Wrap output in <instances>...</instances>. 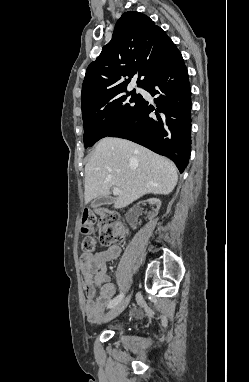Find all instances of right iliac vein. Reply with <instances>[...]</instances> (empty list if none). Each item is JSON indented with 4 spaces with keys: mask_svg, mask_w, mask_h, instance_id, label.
Segmentation results:
<instances>
[{
    "mask_svg": "<svg viewBox=\"0 0 249 382\" xmlns=\"http://www.w3.org/2000/svg\"><path fill=\"white\" fill-rule=\"evenodd\" d=\"M130 301V295H128L125 299L120 301L117 305H115L105 316V320H111L117 317L128 305Z\"/></svg>",
    "mask_w": 249,
    "mask_h": 382,
    "instance_id": "1",
    "label": "right iliac vein"
}]
</instances>
